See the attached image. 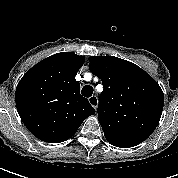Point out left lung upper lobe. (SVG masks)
I'll return each mask as SVG.
<instances>
[{
    "instance_id": "obj_1",
    "label": "left lung upper lobe",
    "mask_w": 178,
    "mask_h": 178,
    "mask_svg": "<svg viewBox=\"0 0 178 178\" xmlns=\"http://www.w3.org/2000/svg\"><path fill=\"white\" fill-rule=\"evenodd\" d=\"M90 71L102 80L98 120L107 141L128 148L146 140L161 118L164 95L137 65L114 56H91Z\"/></svg>"
}]
</instances>
